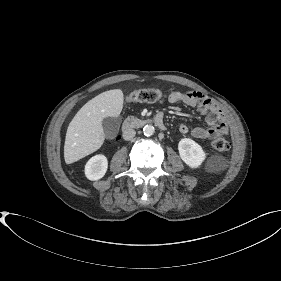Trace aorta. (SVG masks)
<instances>
[{
  "label": "aorta",
  "mask_w": 281,
  "mask_h": 281,
  "mask_svg": "<svg viewBox=\"0 0 281 281\" xmlns=\"http://www.w3.org/2000/svg\"><path fill=\"white\" fill-rule=\"evenodd\" d=\"M155 132L154 126L152 125H145L143 127V133L145 136H152Z\"/></svg>",
  "instance_id": "obj_1"
}]
</instances>
